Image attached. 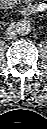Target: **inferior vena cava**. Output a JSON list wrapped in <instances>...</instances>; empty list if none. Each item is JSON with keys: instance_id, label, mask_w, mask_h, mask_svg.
<instances>
[{"instance_id": "602c4592", "label": "inferior vena cava", "mask_w": 47, "mask_h": 129, "mask_svg": "<svg viewBox=\"0 0 47 129\" xmlns=\"http://www.w3.org/2000/svg\"><path fill=\"white\" fill-rule=\"evenodd\" d=\"M16 35V30L14 28H8L7 31H6V36L9 38V39H12L14 38Z\"/></svg>"}]
</instances>
